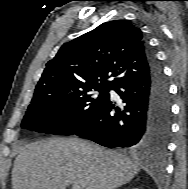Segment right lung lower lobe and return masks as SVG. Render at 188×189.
Wrapping results in <instances>:
<instances>
[{"instance_id": "1", "label": "right lung lower lobe", "mask_w": 188, "mask_h": 189, "mask_svg": "<svg viewBox=\"0 0 188 189\" xmlns=\"http://www.w3.org/2000/svg\"><path fill=\"white\" fill-rule=\"evenodd\" d=\"M149 72L112 88L122 99L119 108L109 94L93 117L74 135L106 147H149L166 150L171 128L169 87L154 54L148 50Z\"/></svg>"}]
</instances>
